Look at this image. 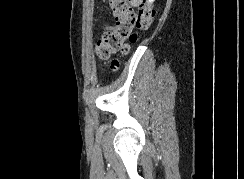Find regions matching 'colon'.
I'll return each instance as SVG.
<instances>
[{
	"instance_id": "colon-1",
	"label": "colon",
	"mask_w": 244,
	"mask_h": 179,
	"mask_svg": "<svg viewBox=\"0 0 244 179\" xmlns=\"http://www.w3.org/2000/svg\"><path fill=\"white\" fill-rule=\"evenodd\" d=\"M110 6L115 16L116 29L104 32L96 45L97 56L102 60L109 59L112 54L127 55L130 44L149 30L155 13L153 6L142 0H112ZM120 63L118 58L111 65L115 68Z\"/></svg>"
}]
</instances>
